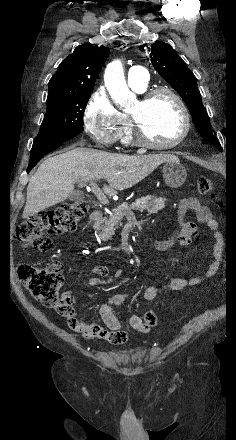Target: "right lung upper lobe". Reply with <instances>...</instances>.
I'll return each mask as SVG.
<instances>
[{"instance_id": "right-lung-upper-lobe-1", "label": "right lung upper lobe", "mask_w": 236, "mask_h": 440, "mask_svg": "<svg viewBox=\"0 0 236 440\" xmlns=\"http://www.w3.org/2000/svg\"><path fill=\"white\" fill-rule=\"evenodd\" d=\"M109 52L104 46H78L50 79L47 103L91 93Z\"/></svg>"}]
</instances>
